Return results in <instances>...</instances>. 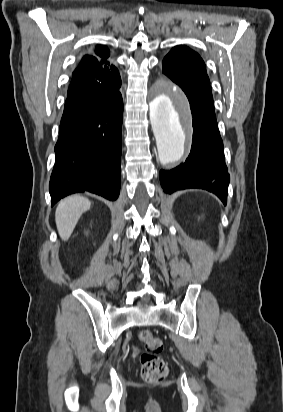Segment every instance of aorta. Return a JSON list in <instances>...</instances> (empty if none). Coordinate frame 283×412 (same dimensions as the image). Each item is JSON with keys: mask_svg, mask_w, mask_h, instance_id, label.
I'll list each match as a JSON object with an SVG mask.
<instances>
[{"mask_svg": "<svg viewBox=\"0 0 283 412\" xmlns=\"http://www.w3.org/2000/svg\"><path fill=\"white\" fill-rule=\"evenodd\" d=\"M150 120L162 164L178 161L185 152L190 113L184 94L162 86L150 102Z\"/></svg>", "mask_w": 283, "mask_h": 412, "instance_id": "1", "label": "aorta"}]
</instances>
